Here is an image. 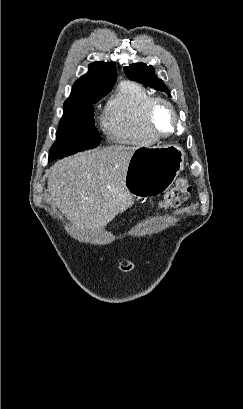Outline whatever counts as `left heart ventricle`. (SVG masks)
Masks as SVG:
<instances>
[{
  "label": "left heart ventricle",
  "instance_id": "b2bd125f",
  "mask_svg": "<svg viewBox=\"0 0 243 409\" xmlns=\"http://www.w3.org/2000/svg\"><path fill=\"white\" fill-rule=\"evenodd\" d=\"M154 124L161 133H167L173 129L174 121L169 109L160 105L154 114Z\"/></svg>",
  "mask_w": 243,
  "mask_h": 409
}]
</instances>
